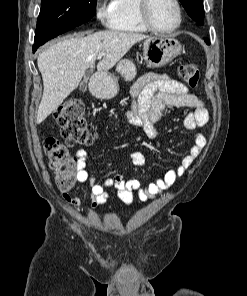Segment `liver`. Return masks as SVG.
Wrapping results in <instances>:
<instances>
[{
	"mask_svg": "<svg viewBox=\"0 0 247 296\" xmlns=\"http://www.w3.org/2000/svg\"><path fill=\"white\" fill-rule=\"evenodd\" d=\"M145 38L133 32L99 31L64 39L40 53L37 65L44 89L36 122H43L78 87L86 70L95 66L99 53L104 57L97 64V72L105 73Z\"/></svg>",
	"mask_w": 247,
	"mask_h": 296,
	"instance_id": "1",
	"label": "liver"
}]
</instances>
